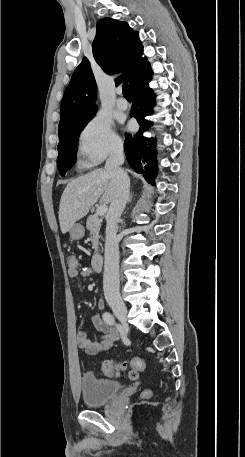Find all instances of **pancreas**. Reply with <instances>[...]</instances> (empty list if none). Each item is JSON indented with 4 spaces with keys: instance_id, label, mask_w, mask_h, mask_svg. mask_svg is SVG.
Wrapping results in <instances>:
<instances>
[{
    "instance_id": "cf45deb5",
    "label": "pancreas",
    "mask_w": 245,
    "mask_h": 457,
    "mask_svg": "<svg viewBox=\"0 0 245 457\" xmlns=\"http://www.w3.org/2000/svg\"><path fill=\"white\" fill-rule=\"evenodd\" d=\"M102 218H99L98 214H89L87 220H86V226L88 231H90L91 235V241H92V249H94V253H98V241L100 239L99 237V231H100V226H101Z\"/></svg>"
}]
</instances>
